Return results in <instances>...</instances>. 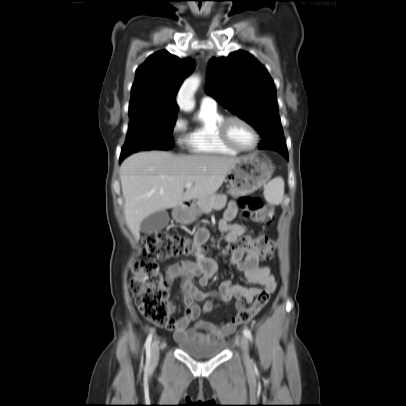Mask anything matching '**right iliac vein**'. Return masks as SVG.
I'll list each match as a JSON object with an SVG mask.
<instances>
[{
	"label": "right iliac vein",
	"instance_id": "right-iliac-vein-1",
	"mask_svg": "<svg viewBox=\"0 0 406 406\" xmlns=\"http://www.w3.org/2000/svg\"><path fill=\"white\" fill-rule=\"evenodd\" d=\"M159 351H160L159 340L155 339L152 343V348H151V362L154 363L158 360Z\"/></svg>",
	"mask_w": 406,
	"mask_h": 406
}]
</instances>
